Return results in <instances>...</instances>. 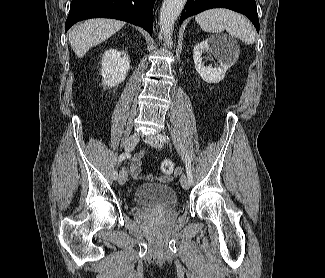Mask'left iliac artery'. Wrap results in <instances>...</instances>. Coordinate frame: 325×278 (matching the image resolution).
Here are the masks:
<instances>
[{"label":"left iliac artery","instance_id":"1","mask_svg":"<svg viewBox=\"0 0 325 278\" xmlns=\"http://www.w3.org/2000/svg\"><path fill=\"white\" fill-rule=\"evenodd\" d=\"M158 139L162 143L169 141V137L166 136V135H158ZM186 173H187V176H188L189 184L192 185L193 184V178H192L191 167L189 165V161H186Z\"/></svg>","mask_w":325,"mask_h":278}]
</instances>
